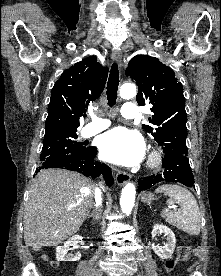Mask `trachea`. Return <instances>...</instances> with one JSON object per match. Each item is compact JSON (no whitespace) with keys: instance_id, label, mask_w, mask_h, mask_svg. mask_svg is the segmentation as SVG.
Returning <instances> with one entry per match:
<instances>
[{"instance_id":"1","label":"trachea","mask_w":221,"mask_h":276,"mask_svg":"<svg viewBox=\"0 0 221 276\" xmlns=\"http://www.w3.org/2000/svg\"><path fill=\"white\" fill-rule=\"evenodd\" d=\"M119 85V71L118 65L114 63L111 67L108 83H107V100L110 107L116 104L117 91Z\"/></svg>"}]
</instances>
